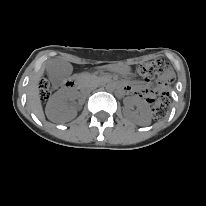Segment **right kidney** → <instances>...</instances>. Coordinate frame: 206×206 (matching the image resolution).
<instances>
[{"mask_svg":"<svg viewBox=\"0 0 206 206\" xmlns=\"http://www.w3.org/2000/svg\"><path fill=\"white\" fill-rule=\"evenodd\" d=\"M76 97V93H55L46 105L45 113L47 117L53 122L60 123L75 118L76 111L67 105V100Z\"/></svg>","mask_w":206,"mask_h":206,"instance_id":"obj_1","label":"right kidney"}]
</instances>
